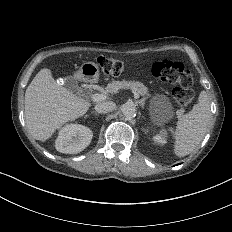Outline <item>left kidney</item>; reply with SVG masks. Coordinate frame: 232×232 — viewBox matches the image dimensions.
<instances>
[{"mask_svg":"<svg viewBox=\"0 0 232 232\" xmlns=\"http://www.w3.org/2000/svg\"><path fill=\"white\" fill-rule=\"evenodd\" d=\"M156 122H157V121H156ZM164 135H165V132L162 130V131L160 132V134H156V135H155V140H156L157 142H162V143H164V139H163Z\"/></svg>","mask_w":232,"mask_h":232,"instance_id":"1","label":"left kidney"}]
</instances>
